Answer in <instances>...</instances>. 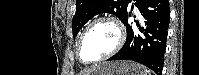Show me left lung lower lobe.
<instances>
[{
  "label": "left lung lower lobe",
  "mask_w": 199,
  "mask_h": 75,
  "mask_svg": "<svg viewBox=\"0 0 199 75\" xmlns=\"http://www.w3.org/2000/svg\"><path fill=\"white\" fill-rule=\"evenodd\" d=\"M141 19L136 25L128 24L127 12L122 20L127 30V39L122 49L108 60H132L162 74L164 53L170 21L168 0H135ZM133 9V6H132Z\"/></svg>",
  "instance_id": "1"
}]
</instances>
